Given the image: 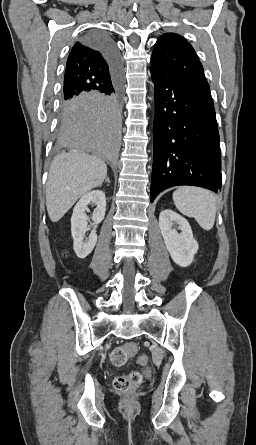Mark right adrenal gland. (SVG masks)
Returning <instances> with one entry per match:
<instances>
[{
	"mask_svg": "<svg viewBox=\"0 0 256 445\" xmlns=\"http://www.w3.org/2000/svg\"><path fill=\"white\" fill-rule=\"evenodd\" d=\"M105 183H108V184H110V180H109V178L107 177L106 179H105Z\"/></svg>",
	"mask_w": 256,
	"mask_h": 445,
	"instance_id": "1",
	"label": "right adrenal gland"
}]
</instances>
